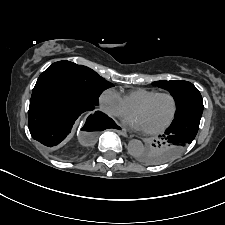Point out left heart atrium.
Segmentation results:
<instances>
[{
    "label": "left heart atrium",
    "instance_id": "1",
    "mask_svg": "<svg viewBox=\"0 0 225 225\" xmlns=\"http://www.w3.org/2000/svg\"><path fill=\"white\" fill-rule=\"evenodd\" d=\"M126 122L136 130H144V127L140 120L136 116H131L126 119Z\"/></svg>",
    "mask_w": 225,
    "mask_h": 225
}]
</instances>
